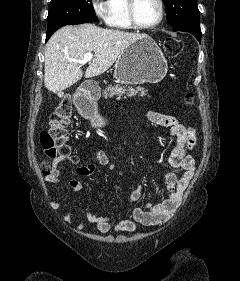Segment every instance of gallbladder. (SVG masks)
Returning <instances> with one entry per match:
<instances>
[{
	"label": "gallbladder",
	"instance_id": "1",
	"mask_svg": "<svg viewBox=\"0 0 240 281\" xmlns=\"http://www.w3.org/2000/svg\"><path fill=\"white\" fill-rule=\"evenodd\" d=\"M57 95H58L59 97H63L64 94L60 91V92L57 93Z\"/></svg>",
	"mask_w": 240,
	"mask_h": 281
}]
</instances>
